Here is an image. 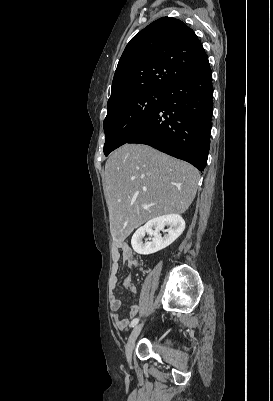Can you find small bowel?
Listing matches in <instances>:
<instances>
[{
    "label": "small bowel",
    "mask_w": 273,
    "mask_h": 401,
    "mask_svg": "<svg viewBox=\"0 0 273 401\" xmlns=\"http://www.w3.org/2000/svg\"><path fill=\"white\" fill-rule=\"evenodd\" d=\"M112 267L111 273L109 277V289L111 292L110 298V309L113 313V324L118 330H126L130 321L136 319L138 316L141 307L145 304H153L154 296L150 295L149 290H140L139 291V302L130 306L128 315L126 317H122L119 315V310L122 305V301L116 295L118 289V271H119V262L122 261L126 263L129 267H138L140 266V262L133 257V251L131 247L124 242L115 243L112 247ZM123 287H134L135 280L130 276L123 278L122 280ZM131 293H137L138 291H129Z\"/></svg>",
    "instance_id": "obj_1"
}]
</instances>
